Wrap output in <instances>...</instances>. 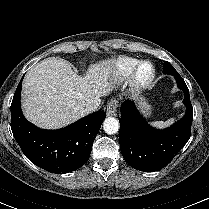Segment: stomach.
Instances as JSON below:
<instances>
[{
	"instance_id": "0dacf381",
	"label": "stomach",
	"mask_w": 209,
	"mask_h": 209,
	"mask_svg": "<svg viewBox=\"0 0 209 209\" xmlns=\"http://www.w3.org/2000/svg\"><path fill=\"white\" fill-rule=\"evenodd\" d=\"M137 100L140 101V102H139V106H140L141 111H142L146 116H150V115H151L152 108H151V106L148 104V102L145 100V98H143V97L138 98V97H137Z\"/></svg>"
}]
</instances>
